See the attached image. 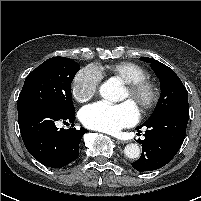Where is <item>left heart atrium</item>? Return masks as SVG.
Returning <instances> with one entry per match:
<instances>
[{
  "label": "left heart atrium",
  "instance_id": "39dd6f15",
  "mask_svg": "<svg viewBox=\"0 0 201 201\" xmlns=\"http://www.w3.org/2000/svg\"><path fill=\"white\" fill-rule=\"evenodd\" d=\"M138 118V109L130 101L120 104L101 101L84 107L80 112V119L86 127L111 134L134 125Z\"/></svg>",
  "mask_w": 201,
  "mask_h": 201
}]
</instances>
